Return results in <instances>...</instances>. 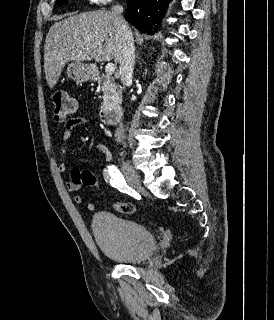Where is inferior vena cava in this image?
<instances>
[{
    "label": "inferior vena cava",
    "instance_id": "obj_1",
    "mask_svg": "<svg viewBox=\"0 0 274 320\" xmlns=\"http://www.w3.org/2000/svg\"><path fill=\"white\" fill-rule=\"evenodd\" d=\"M111 14L113 22L116 26L117 34L121 40L122 48L120 54V80L123 86H127L128 82L133 78L134 62H135V48L133 42L132 32L125 22L123 14V6H112ZM121 142L123 138V126L120 124L116 134Z\"/></svg>",
    "mask_w": 274,
    "mask_h": 320
}]
</instances>
